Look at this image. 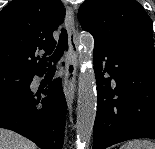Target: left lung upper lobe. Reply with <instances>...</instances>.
I'll list each match as a JSON object with an SVG mask.
<instances>
[{"label":"left lung upper lobe","mask_w":155,"mask_h":149,"mask_svg":"<svg viewBox=\"0 0 155 149\" xmlns=\"http://www.w3.org/2000/svg\"><path fill=\"white\" fill-rule=\"evenodd\" d=\"M78 19L82 29L93 35L95 46L154 44L153 22L136 0H85Z\"/></svg>","instance_id":"1"}]
</instances>
